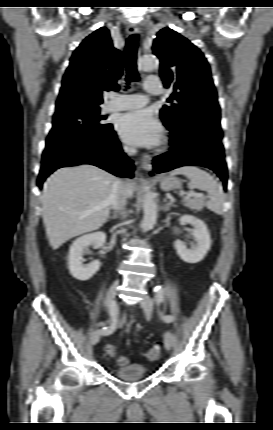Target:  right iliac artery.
<instances>
[{"instance_id":"1","label":"right iliac artery","mask_w":273,"mask_h":430,"mask_svg":"<svg viewBox=\"0 0 273 430\" xmlns=\"http://www.w3.org/2000/svg\"><path fill=\"white\" fill-rule=\"evenodd\" d=\"M114 303L115 302H113V304ZM110 315H111V324L108 327H103L101 330H99L102 335H109L116 328L117 318H118V312L115 311L114 309H112V310H110Z\"/></svg>"}]
</instances>
